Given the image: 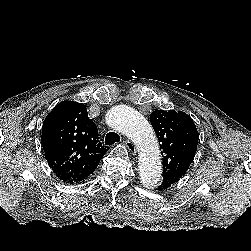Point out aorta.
<instances>
[{"instance_id": "1", "label": "aorta", "mask_w": 251, "mask_h": 251, "mask_svg": "<svg viewBox=\"0 0 251 251\" xmlns=\"http://www.w3.org/2000/svg\"><path fill=\"white\" fill-rule=\"evenodd\" d=\"M106 122L113 129L131 137L140 152V179L143 185L154 188L161 180L160 151L154 131L138 111L124 105L111 108Z\"/></svg>"}]
</instances>
